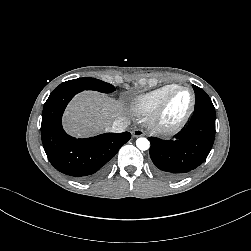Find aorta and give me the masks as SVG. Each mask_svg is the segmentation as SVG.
Listing matches in <instances>:
<instances>
[{
  "instance_id": "762f6f07",
  "label": "aorta",
  "mask_w": 251,
  "mask_h": 251,
  "mask_svg": "<svg viewBox=\"0 0 251 251\" xmlns=\"http://www.w3.org/2000/svg\"><path fill=\"white\" fill-rule=\"evenodd\" d=\"M136 146L140 150L145 151L150 147V143L146 138H138L136 141Z\"/></svg>"
}]
</instances>
